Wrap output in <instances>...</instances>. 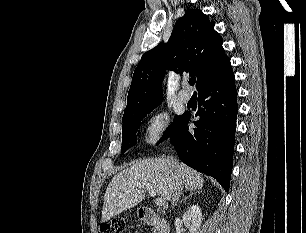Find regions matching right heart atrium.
<instances>
[{
    "label": "right heart atrium",
    "mask_w": 306,
    "mask_h": 233,
    "mask_svg": "<svg viewBox=\"0 0 306 233\" xmlns=\"http://www.w3.org/2000/svg\"><path fill=\"white\" fill-rule=\"evenodd\" d=\"M171 124L170 115L165 111L152 114L145 125L144 140L148 146L160 144L167 136Z\"/></svg>",
    "instance_id": "right-heart-atrium-1"
}]
</instances>
